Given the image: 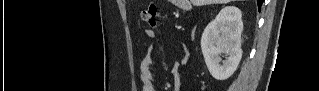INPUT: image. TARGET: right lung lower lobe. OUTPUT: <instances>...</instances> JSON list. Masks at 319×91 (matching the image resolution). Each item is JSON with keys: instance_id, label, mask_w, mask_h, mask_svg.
Returning a JSON list of instances; mask_svg holds the SVG:
<instances>
[{"instance_id": "obj_1", "label": "right lung lower lobe", "mask_w": 319, "mask_h": 91, "mask_svg": "<svg viewBox=\"0 0 319 91\" xmlns=\"http://www.w3.org/2000/svg\"><path fill=\"white\" fill-rule=\"evenodd\" d=\"M262 3H263V0H257V4H258V7H259V10L261 8Z\"/></svg>"}]
</instances>
